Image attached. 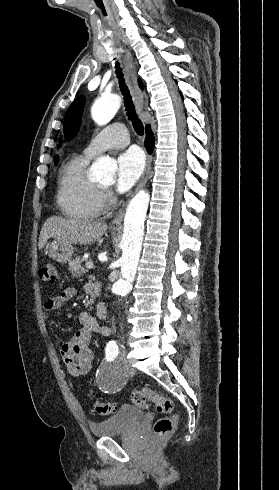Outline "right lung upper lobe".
<instances>
[{
	"mask_svg": "<svg viewBox=\"0 0 279 490\" xmlns=\"http://www.w3.org/2000/svg\"><path fill=\"white\" fill-rule=\"evenodd\" d=\"M140 87H141V88H143V86H142V83H141V82H140ZM57 161H58V160L56 159V160H55V162L57 163Z\"/></svg>",
	"mask_w": 279,
	"mask_h": 490,
	"instance_id": "1",
	"label": "right lung upper lobe"
}]
</instances>
